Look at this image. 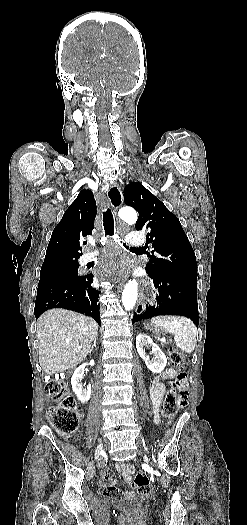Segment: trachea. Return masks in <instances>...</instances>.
<instances>
[{"label": "trachea", "instance_id": "trachea-1", "mask_svg": "<svg viewBox=\"0 0 247 525\" xmlns=\"http://www.w3.org/2000/svg\"><path fill=\"white\" fill-rule=\"evenodd\" d=\"M103 225L105 236H114V219L110 208L103 211ZM122 245L127 249H142L143 247H129L125 243L121 242Z\"/></svg>", "mask_w": 247, "mask_h": 525}]
</instances>
